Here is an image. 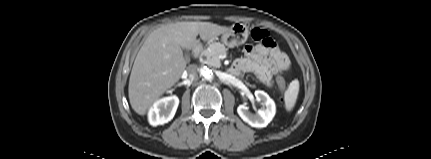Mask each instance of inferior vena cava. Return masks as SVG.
Wrapping results in <instances>:
<instances>
[{
	"instance_id": "obj_1",
	"label": "inferior vena cava",
	"mask_w": 431,
	"mask_h": 159,
	"mask_svg": "<svg viewBox=\"0 0 431 159\" xmlns=\"http://www.w3.org/2000/svg\"><path fill=\"white\" fill-rule=\"evenodd\" d=\"M187 73L190 79H196L198 77L197 74V66L196 65H190L187 68Z\"/></svg>"
}]
</instances>
